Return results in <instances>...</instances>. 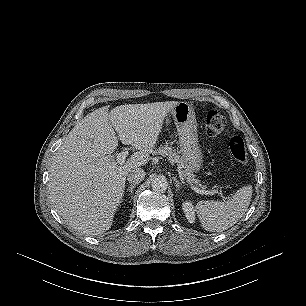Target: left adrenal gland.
I'll return each mask as SVG.
<instances>
[{
	"label": "left adrenal gland",
	"instance_id": "obj_1",
	"mask_svg": "<svg viewBox=\"0 0 306 306\" xmlns=\"http://www.w3.org/2000/svg\"><path fill=\"white\" fill-rule=\"evenodd\" d=\"M173 181L176 184V191H180V189L182 188L181 183L176 179V177H173Z\"/></svg>",
	"mask_w": 306,
	"mask_h": 306
}]
</instances>
